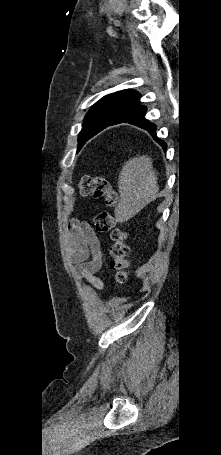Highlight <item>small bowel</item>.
<instances>
[{
	"instance_id": "small-bowel-1",
	"label": "small bowel",
	"mask_w": 221,
	"mask_h": 455,
	"mask_svg": "<svg viewBox=\"0 0 221 455\" xmlns=\"http://www.w3.org/2000/svg\"><path fill=\"white\" fill-rule=\"evenodd\" d=\"M66 243L73 264L79 267V274L95 289L104 291V281L99 273L104 264V253L91 227L84 222H72L66 234Z\"/></svg>"
}]
</instances>
